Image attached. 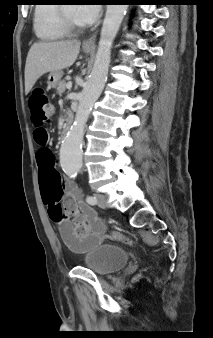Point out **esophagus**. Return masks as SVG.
<instances>
[{"label":"esophagus","instance_id":"1","mask_svg":"<svg viewBox=\"0 0 213 338\" xmlns=\"http://www.w3.org/2000/svg\"><path fill=\"white\" fill-rule=\"evenodd\" d=\"M95 42H96V35L94 34L91 37H89L88 39H86L83 42V45L85 47H94L95 46Z\"/></svg>","mask_w":213,"mask_h":338}]
</instances>
